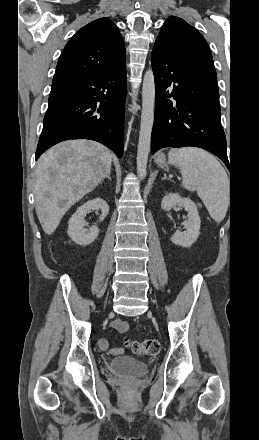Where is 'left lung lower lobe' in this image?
<instances>
[{"label": "left lung lower lobe", "instance_id": "1", "mask_svg": "<svg viewBox=\"0 0 259 440\" xmlns=\"http://www.w3.org/2000/svg\"><path fill=\"white\" fill-rule=\"evenodd\" d=\"M151 62L156 86L151 153L164 147H199L230 169L214 65L181 59L159 47L153 48ZM169 97L176 100L175 107Z\"/></svg>", "mask_w": 259, "mask_h": 440}]
</instances>
